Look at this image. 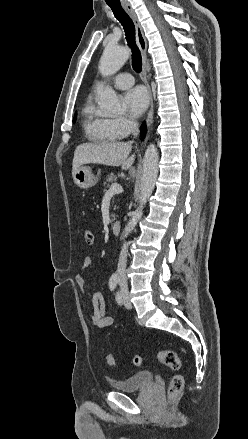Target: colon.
Instances as JSON below:
<instances>
[{
    "instance_id": "1",
    "label": "colon",
    "mask_w": 248,
    "mask_h": 439,
    "mask_svg": "<svg viewBox=\"0 0 248 439\" xmlns=\"http://www.w3.org/2000/svg\"><path fill=\"white\" fill-rule=\"evenodd\" d=\"M83 237L85 242L88 245H93L95 242L94 234L91 230L85 229L83 231ZM157 359L162 362L165 366L172 370H179L181 367V360L177 353L169 350L159 351L156 355ZM105 361L109 366H115L116 365V359L112 354H106ZM143 362V357L136 355L133 357V364L136 366H140ZM184 380L183 377L179 374L174 375L169 389H168V397L170 400H176L183 389Z\"/></svg>"
}]
</instances>
